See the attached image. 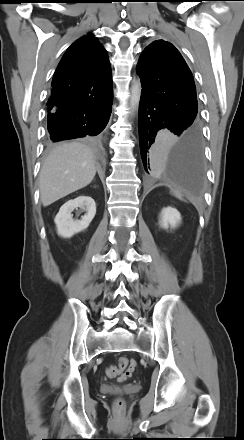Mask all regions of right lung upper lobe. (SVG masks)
Segmentation results:
<instances>
[{"label":"right lung upper lobe","instance_id":"cb5924a9","mask_svg":"<svg viewBox=\"0 0 244 440\" xmlns=\"http://www.w3.org/2000/svg\"><path fill=\"white\" fill-rule=\"evenodd\" d=\"M113 96L106 50L92 33L74 42L53 77L48 114L93 109Z\"/></svg>","mask_w":244,"mask_h":440}]
</instances>
